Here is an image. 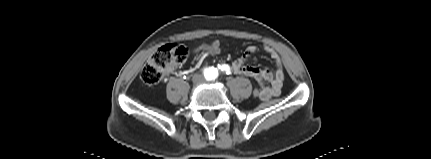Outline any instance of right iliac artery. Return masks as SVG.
Listing matches in <instances>:
<instances>
[{
    "label": "right iliac artery",
    "instance_id": "82829eb1",
    "mask_svg": "<svg viewBox=\"0 0 431 159\" xmlns=\"http://www.w3.org/2000/svg\"><path fill=\"white\" fill-rule=\"evenodd\" d=\"M216 71V69L215 68H213V67H209V68H205L204 70H203V73H204V76H205V78L207 79V80H210L211 79V77H212V74L214 73Z\"/></svg>",
    "mask_w": 431,
    "mask_h": 159
}]
</instances>
